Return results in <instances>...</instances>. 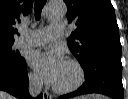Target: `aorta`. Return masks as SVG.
<instances>
[{
    "mask_svg": "<svg viewBox=\"0 0 128 99\" xmlns=\"http://www.w3.org/2000/svg\"><path fill=\"white\" fill-rule=\"evenodd\" d=\"M67 7L63 0H52L49 2L46 17L51 19L63 18L66 15Z\"/></svg>",
    "mask_w": 128,
    "mask_h": 99,
    "instance_id": "obj_1",
    "label": "aorta"
}]
</instances>
